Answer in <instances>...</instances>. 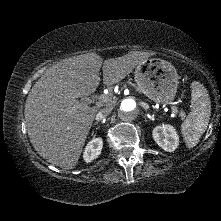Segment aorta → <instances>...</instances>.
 <instances>
[{"label":"aorta","instance_id":"obj_1","mask_svg":"<svg viewBox=\"0 0 221 221\" xmlns=\"http://www.w3.org/2000/svg\"><path fill=\"white\" fill-rule=\"evenodd\" d=\"M139 112L138 104L132 98H126L118 106V115L123 121L134 120Z\"/></svg>","mask_w":221,"mask_h":221}]
</instances>
